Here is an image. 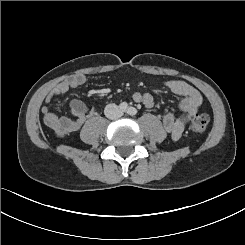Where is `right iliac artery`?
Returning a JSON list of instances; mask_svg holds the SVG:
<instances>
[{
  "instance_id": "obj_1",
  "label": "right iliac artery",
  "mask_w": 245,
  "mask_h": 245,
  "mask_svg": "<svg viewBox=\"0 0 245 245\" xmlns=\"http://www.w3.org/2000/svg\"><path fill=\"white\" fill-rule=\"evenodd\" d=\"M119 108H120V110H121L122 112H125V111H127V109H128V105H127V103L123 102V103H121V104L119 105Z\"/></svg>"
}]
</instances>
